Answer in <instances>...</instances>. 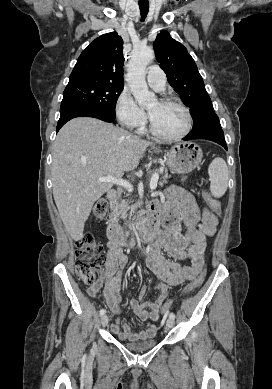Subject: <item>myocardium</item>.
I'll return each instance as SVG.
<instances>
[{"instance_id":"1","label":"myocardium","mask_w":272,"mask_h":389,"mask_svg":"<svg viewBox=\"0 0 272 389\" xmlns=\"http://www.w3.org/2000/svg\"><path fill=\"white\" fill-rule=\"evenodd\" d=\"M158 101L162 104H173V105L178 106L185 114L186 126H185L184 130L177 135H172V136L165 135L156 129V127L153 123V120L148 113L149 129H150V132L152 133V135H154L155 137H157L161 140H164V141H178V140L185 138L190 133L192 126H193V119H192V115H191L189 108L180 100H178L176 98H172V97H162Z\"/></svg>"}]
</instances>
